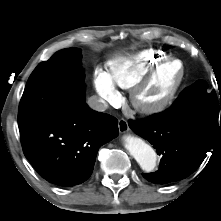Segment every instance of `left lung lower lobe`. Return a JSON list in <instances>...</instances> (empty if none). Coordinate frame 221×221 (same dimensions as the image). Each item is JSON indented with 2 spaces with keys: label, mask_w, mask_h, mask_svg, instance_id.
<instances>
[{
  "label": "left lung lower lobe",
  "mask_w": 221,
  "mask_h": 221,
  "mask_svg": "<svg viewBox=\"0 0 221 221\" xmlns=\"http://www.w3.org/2000/svg\"><path fill=\"white\" fill-rule=\"evenodd\" d=\"M129 126L162 156L156 172L142 174L155 184L188 177L203 162L216 138V142L221 139V117L217 116L170 117L162 112L146 120H130Z\"/></svg>",
  "instance_id": "1"
}]
</instances>
